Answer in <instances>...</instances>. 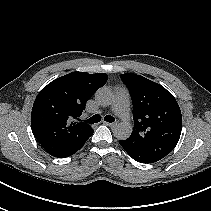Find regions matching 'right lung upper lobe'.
Masks as SVG:
<instances>
[{
  "label": "right lung upper lobe",
  "mask_w": 211,
  "mask_h": 211,
  "mask_svg": "<svg viewBox=\"0 0 211 211\" xmlns=\"http://www.w3.org/2000/svg\"><path fill=\"white\" fill-rule=\"evenodd\" d=\"M106 82L105 73L72 72L39 92L32 108L31 129L49 154L66 155L93 134L90 125L78 121L86 101Z\"/></svg>",
  "instance_id": "cb5924a9"
}]
</instances>
